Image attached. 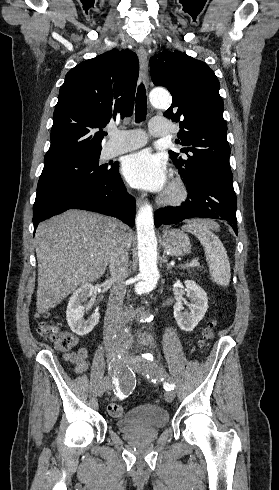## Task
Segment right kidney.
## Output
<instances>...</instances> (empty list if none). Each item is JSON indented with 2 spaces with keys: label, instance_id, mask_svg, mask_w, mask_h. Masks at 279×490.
<instances>
[{
  "label": "right kidney",
  "instance_id": "right-kidney-1",
  "mask_svg": "<svg viewBox=\"0 0 279 490\" xmlns=\"http://www.w3.org/2000/svg\"><path fill=\"white\" fill-rule=\"evenodd\" d=\"M94 290L93 284H82L69 300L66 310L67 324L70 330L74 334H78V336H86V334L92 332L99 322V312H94L90 318H84L88 306L83 304V302L86 298L93 296Z\"/></svg>",
  "mask_w": 279,
  "mask_h": 490
}]
</instances>
